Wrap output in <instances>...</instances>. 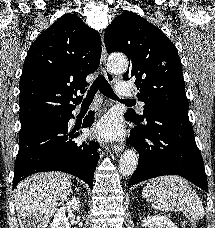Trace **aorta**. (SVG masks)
Returning a JSON list of instances; mask_svg holds the SVG:
<instances>
[{"mask_svg":"<svg viewBox=\"0 0 215 228\" xmlns=\"http://www.w3.org/2000/svg\"><path fill=\"white\" fill-rule=\"evenodd\" d=\"M110 66L115 68L117 72H126L129 62L126 56H112L110 58ZM139 162V156L135 150H126L123 156H121L119 160V172H121L122 176H132L134 174Z\"/></svg>","mask_w":215,"mask_h":228,"instance_id":"1","label":"aorta"}]
</instances>
